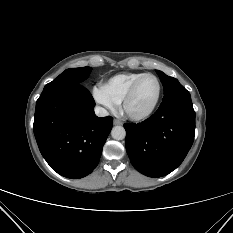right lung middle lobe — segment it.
<instances>
[{"label": "right lung middle lobe", "instance_id": "dd1d6c3e", "mask_svg": "<svg viewBox=\"0 0 233 233\" xmlns=\"http://www.w3.org/2000/svg\"><path fill=\"white\" fill-rule=\"evenodd\" d=\"M91 71V67L67 69L58 77H56L52 82L48 83L44 88L56 87L66 84H80L82 81L88 78Z\"/></svg>", "mask_w": 233, "mask_h": 233}]
</instances>
